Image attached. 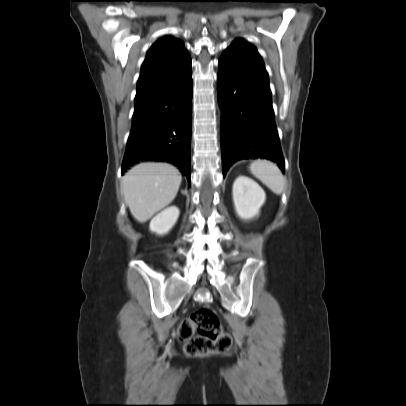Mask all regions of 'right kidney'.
Returning <instances> with one entry per match:
<instances>
[{"label": "right kidney", "instance_id": "ca27d5eb", "mask_svg": "<svg viewBox=\"0 0 406 406\" xmlns=\"http://www.w3.org/2000/svg\"><path fill=\"white\" fill-rule=\"evenodd\" d=\"M179 214L180 211L176 206L164 209L151 220L150 231L158 235L168 233L177 222Z\"/></svg>", "mask_w": 406, "mask_h": 406}]
</instances>
